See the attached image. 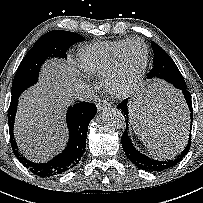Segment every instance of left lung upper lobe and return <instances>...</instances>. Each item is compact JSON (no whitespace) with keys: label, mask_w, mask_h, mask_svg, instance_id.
<instances>
[{"label":"left lung upper lobe","mask_w":203,"mask_h":203,"mask_svg":"<svg viewBox=\"0 0 203 203\" xmlns=\"http://www.w3.org/2000/svg\"><path fill=\"white\" fill-rule=\"evenodd\" d=\"M152 49L154 52L153 64L151 72L148 74L149 78L158 77L165 79L166 64L169 63L170 66L175 65L174 61L168 56V54L156 43L152 42Z\"/></svg>","instance_id":"obj_1"}]
</instances>
